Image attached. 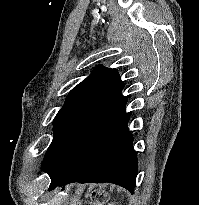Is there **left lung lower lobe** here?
Instances as JSON below:
<instances>
[{"instance_id": "left-lung-lower-lobe-1", "label": "left lung lower lobe", "mask_w": 199, "mask_h": 205, "mask_svg": "<svg viewBox=\"0 0 199 205\" xmlns=\"http://www.w3.org/2000/svg\"><path fill=\"white\" fill-rule=\"evenodd\" d=\"M126 104L124 100L93 130L69 170L51 180L49 190L74 182H110L134 191L138 159L127 127Z\"/></svg>"}]
</instances>
